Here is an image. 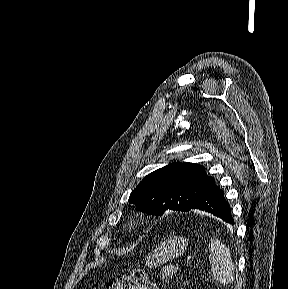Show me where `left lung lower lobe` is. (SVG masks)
Wrapping results in <instances>:
<instances>
[{"label":"left lung lower lobe","mask_w":288,"mask_h":289,"mask_svg":"<svg viewBox=\"0 0 288 289\" xmlns=\"http://www.w3.org/2000/svg\"><path fill=\"white\" fill-rule=\"evenodd\" d=\"M191 209L209 212L227 223L234 224L230 206L224 197V192L216 184L203 194Z\"/></svg>","instance_id":"1"}]
</instances>
